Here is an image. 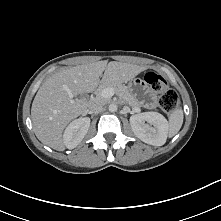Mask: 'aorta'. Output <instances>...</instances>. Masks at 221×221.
Masks as SVG:
<instances>
[{"mask_svg":"<svg viewBox=\"0 0 221 221\" xmlns=\"http://www.w3.org/2000/svg\"><path fill=\"white\" fill-rule=\"evenodd\" d=\"M108 109H109L110 112H116L117 111V105L112 103V104L109 105Z\"/></svg>","mask_w":221,"mask_h":221,"instance_id":"aorta-1","label":"aorta"}]
</instances>
